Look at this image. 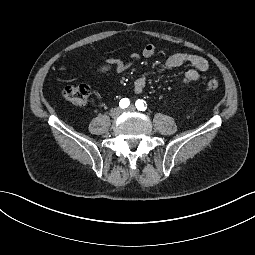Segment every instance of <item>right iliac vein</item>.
Segmentation results:
<instances>
[{"label":"right iliac vein","mask_w":255,"mask_h":255,"mask_svg":"<svg viewBox=\"0 0 255 255\" xmlns=\"http://www.w3.org/2000/svg\"><path fill=\"white\" fill-rule=\"evenodd\" d=\"M121 113H122L121 108L116 107V108H114V109H112V110L110 111V116H111L112 118H117V117L120 116Z\"/></svg>","instance_id":"obj_1"}]
</instances>
